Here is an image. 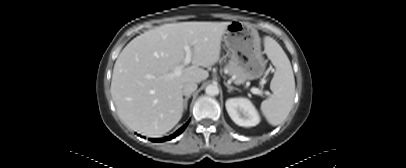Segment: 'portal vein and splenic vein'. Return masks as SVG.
Instances as JSON below:
<instances>
[{"label":"portal vein and splenic vein","instance_id":"18ae733b","mask_svg":"<svg viewBox=\"0 0 406 168\" xmlns=\"http://www.w3.org/2000/svg\"><path fill=\"white\" fill-rule=\"evenodd\" d=\"M184 50H185V52H186V56H185V59H184V61H183V64H182L180 67H177V68L173 71V73H171V74L168 75L170 78L175 77V76H179V75L181 74L182 68H184L185 66H187V65L191 62L192 51H191L190 46H189V45H185V46H184ZM251 92H252L253 94L260 95V96H262L263 94H265V95H267V96H270V95H271L269 91L263 92L262 90H260V89H258V88H255V87L251 88Z\"/></svg>","mask_w":406,"mask_h":168}]
</instances>
